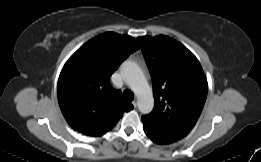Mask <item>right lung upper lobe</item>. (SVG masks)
I'll return each mask as SVG.
<instances>
[{"mask_svg":"<svg viewBox=\"0 0 261 162\" xmlns=\"http://www.w3.org/2000/svg\"><path fill=\"white\" fill-rule=\"evenodd\" d=\"M139 47L131 36L107 32L89 40L70 57L60 73L57 95L73 129L100 136L111 130L124 112L133 109L109 79Z\"/></svg>","mask_w":261,"mask_h":162,"instance_id":"obj_1","label":"right lung upper lobe"}]
</instances>
